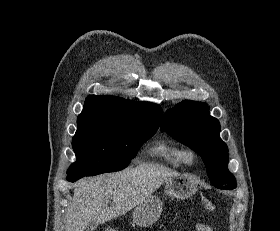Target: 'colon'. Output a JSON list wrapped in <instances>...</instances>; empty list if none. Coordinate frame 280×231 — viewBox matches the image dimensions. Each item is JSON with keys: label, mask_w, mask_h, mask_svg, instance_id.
<instances>
[{"label": "colon", "mask_w": 280, "mask_h": 231, "mask_svg": "<svg viewBox=\"0 0 280 231\" xmlns=\"http://www.w3.org/2000/svg\"><path fill=\"white\" fill-rule=\"evenodd\" d=\"M202 206L207 211H213L215 209V204L207 197L202 198Z\"/></svg>", "instance_id": "1"}]
</instances>
